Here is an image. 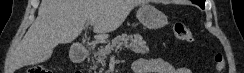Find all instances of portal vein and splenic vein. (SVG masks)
Segmentation results:
<instances>
[{"instance_id":"portal-vein-and-splenic-vein-1","label":"portal vein and splenic vein","mask_w":244,"mask_h":73,"mask_svg":"<svg viewBox=\"0 0 244 73\" xmlns=\"http://www.w3.org/2000/svg\"><path fill=\"white\" fill-rule=\"evenodd\" d=\"M94 23H95V20H91V21L89 22L90 25H94Z\"/></svg>"}]
</instances>
